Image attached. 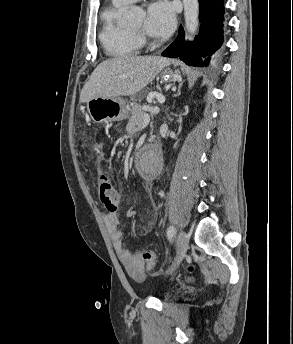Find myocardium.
I'll return each instance as SVG.
<instances>
[{"label":"myocardium","instance_id":"1","mask_svg":"<svg viewBox=\"0 0 293 344\" xmlns=\"http://www.w3.org/2000/svg\"><path fill=\"white\" fill-rule=\"evenodd\" d=\"M129 31L134 35L136 36L137 38H144V34L142 32H135V31H132L131 29H129Z\"/></svg>","mask_w":293,"mask_h":344}]
</instances>
